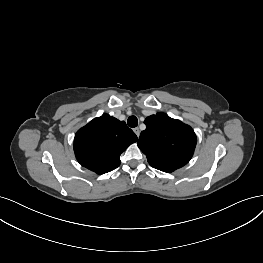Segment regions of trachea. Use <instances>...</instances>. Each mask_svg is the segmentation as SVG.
<instances>
[{
  "label": "trachea",
  "mask_w": 263,
  "mask_h": 263,
  "mask_svg": "<svg viewBox=\"0 0 263 263\" xmlns=\"http://www.w3.org/2000/svg\"><path fill=\"white\" fill-rule=\"evenodd\" d=\"M127 124L129 127L134 128L138 125V119L136 116H130L127 120Z\"/></svg>",
  "instance_id": "1"
}]
</instances>
